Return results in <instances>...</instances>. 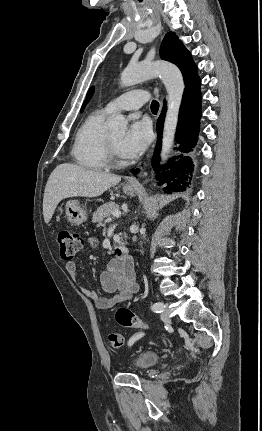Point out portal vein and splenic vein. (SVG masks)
Instances as JSON below:
<instances>
[{
    "instance_id": "obj_1",
    "label": "portal vein and splenic vein",
    "mask_w": 262,
    "mask_h": 431,
    "mask_svg": "<svg viewBox=\"0 0 262 431\" xmlns=\"http://www.w3.org/2000/svg\"><path fill=\"white\" fill-rule=\"evenodd\" d=\"M112 215H113L114 217H116V218H119V217L121 216V212H119V211H114V212L112 213Z\"/></svg>"
}]
</instances>
